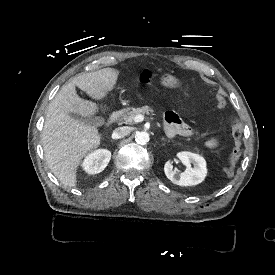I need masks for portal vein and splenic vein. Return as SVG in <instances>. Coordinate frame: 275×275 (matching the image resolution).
<instances>
[{
    "instance_id": "18ae733b",
    "label": "portal vein and splenic vein",
    "mask_w": 275,
    "mask_h": 275,
    "mask_svg": "<svg viewBox=\"0 0 275 275\" xmlns=\"http://www.w3.org/2000/svg\"><path fill=\"white\" fill-rule=\"evenodd\" d=\"M143 120H144V115L142 114L136 115L134 119L135 122H142Z\"/></svg>"
}]
</instances>
